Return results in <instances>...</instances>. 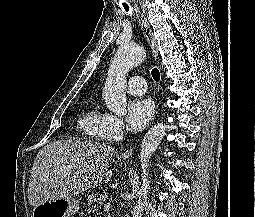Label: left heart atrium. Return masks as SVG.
<instances>
[{
  "label": "left heart atrium",
  "instance_id": "1",
  "mask_svg": "<svg viewBox=\"0 0 255 217\" xmlns=\"http://www.w3.org/2000/svg\"><path fill=\"white\" fill-rule=\"evenodd\" d=\"M153 103L147 98H136L129 103L127 121L132 132L143 129L153 115Z\"/></svg>",
  "mask_w": 255,
  "mask_h": 217
}]
</instances>
